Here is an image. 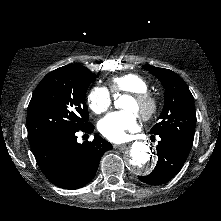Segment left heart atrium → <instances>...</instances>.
<instances>
[{
  "instance_id": "left-heart-atrium-1",
  "label": "left heart atrium",
  "mask_w": 221,
  "mask_h": 221,
  "mask_svg": "<svg viewBox=\"0 0 221 221\" xmlns=\"http://www.w3.org/2000/svg\"><path fill=\"white\" fill-rule=\"evenodd\" d=\"M137 129V118L133 111L112 112L98 123V130L105 138L113 142H121L128 132Z\"/></svg>"
}]
</instances>
